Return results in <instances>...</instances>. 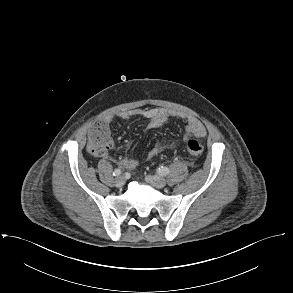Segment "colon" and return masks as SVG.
Masks as SVG:
<instances>
[{"instance_id": "1", "label": "colon", "mask_w": 293, "mask_h": 293, "mask_svg": "<svg viewBox=\"0 0 293 293\" xmlns=\"http://www.w3.org/2000/svg\"><path fill=\"white\" fill-rule=\"evenodd\" d=\"M88 137V147L94 156H103L112 148V141L110 140L107 126L103 121H96L91 126ZM185 148L194 157H200L203 153L200 142L194 137L186 140Z\"/></svg>"}]
</instances>
